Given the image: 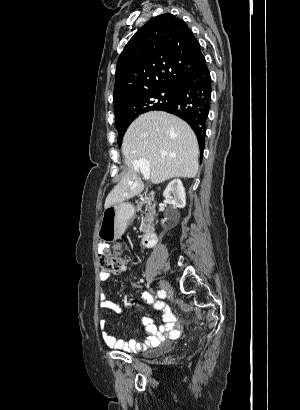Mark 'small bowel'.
<instances>
[{
    "mask_svg": "<svg viewBox=\"0 0 300 410\" xmlns=\"http://www.w3.org/2000/svg\"><path fill=\"white\" fill-rule=\"evenodd\" d=\"M108 279L109 274H100L101 281H107ZM140 298L152 304L156 310L162 313L164 324L158 330L151 318L144 317L141 319V326L143 334L146 337L145 341H137L133 339L124 341L117 339L114 335L110 334L106 330V319L101 318L98 324L101 329L102 339L108 347L125 352H139L147 348L157 346L162 339L176 335L180 331V324L177 322L168 305L163 302L154 301L151 295L146 292L141 293ZM100 307L114 314H122L124 312L123 307L113 301L108 300L104 293H101L100 295Z\"/></svg>",
    "mask_w": 300,
    "mask_h": 410,
    "instance_id": "obj_1",
    "label": "small bowel"
}]
</instances>
